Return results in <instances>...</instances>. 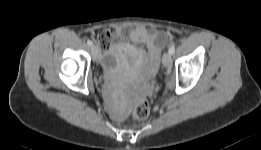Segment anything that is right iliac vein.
<instances>
[{"instance_id":"63e3f726","label":"right iliac vein","mask_w":261,"mask_h":150,"mask_svg":"<svg viewBox=\"0 0 261 150\" xmlns=\"http://www.w3.org/2000/svg\"><path fill=\"white\" fill-rule=\"evenodd\" d=\"M92 57L94 60H97L99 56V48L96 45H92L91 47Z\"/></svg>"}]
</instances>
